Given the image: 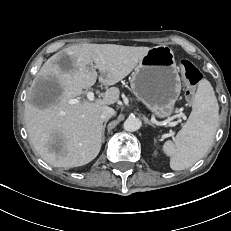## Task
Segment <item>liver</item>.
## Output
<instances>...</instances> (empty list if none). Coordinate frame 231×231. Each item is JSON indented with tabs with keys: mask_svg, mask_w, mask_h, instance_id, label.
I'll return each instance as SVG.
<instances>
[{
	"mask_svg": "<svg viewBox=\"0 0 231 231\" xmlns=\"http://www.w3.org/2000/svg\"><path fill=\"white\" fill-rule=\"evenodd\" d=\"M151 48L115 44H77L51 56L37 73L39 81L57 84L53 101L43 107L31 103L33 89L25 103L26 129L34 149L54 167L72 168L85 165L101 149L102 109L119 99L117 87H110L103 98L80 100L83 89L97 80L113 86L125 78ZM71 99L79 102L70 104Z\"/></svg>",
	"mask_w": 231,
	"mask_h": 231,
	"instance_id": "1",
	"label": "liver"
}]
</instances>
